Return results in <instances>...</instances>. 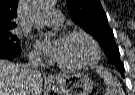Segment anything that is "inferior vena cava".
I'll use <instances>...</instances> for the list:
<instances>
[{"instance_id": "602c4592", "label": "inferior vena cava", "mask_w": 135, "mask_h": 95, "mask_svg": "<svg viewBox=\"0 0 135 95\" xmlns=\"http://www.w3.org/2000/svg\"><path fill=\"white\" fill-rule=\"evenodd\" d=\"M41 61L40 57L36 54H30L29 55V61L27 65H25V71L29 77L36 76L39 72L37 71V68L40 66Z\"/></svg>"}]
</instances>
